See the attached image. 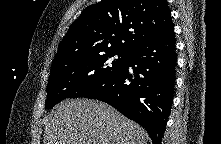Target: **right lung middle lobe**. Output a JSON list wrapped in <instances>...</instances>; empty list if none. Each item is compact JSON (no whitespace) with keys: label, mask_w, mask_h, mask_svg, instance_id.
<instances>
[{"label":"right lung middle lobe","mask_w":221,"mask_h":144,"mask_svg":"<svg viewBox=\"0 0 221 144\" xmlns=\"http://www.w3.org/2000/svg\"><path fill=\"white\" fill-rule=\"evenodd\" d=\"M118 55V59L112 57ZM127 53L106 52L51 68L45 107L52 108L67 98L80 97L115 75L125 63Z\"/></svg>","instance_id":"1"}]
</instances>
